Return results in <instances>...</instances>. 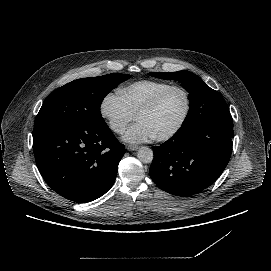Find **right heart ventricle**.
Wrapping results in <instances>:
<instances>
[{"label":"right heart ventricle","mask_w":271,"mask_h":271,"mask_svg":"<svg viewBox=\"0 0 271 271\" xmlns=\"http://www.w3.org/2000/svg\"><path fill=\"white\" fill-rule=\"evenodd\" d=\"M172 85L168 81L143 79L121 88V99L132 115H136L158 93Z\"/></svg>","instance_id":"right-heart-ventricle-1"}]
</instances>
